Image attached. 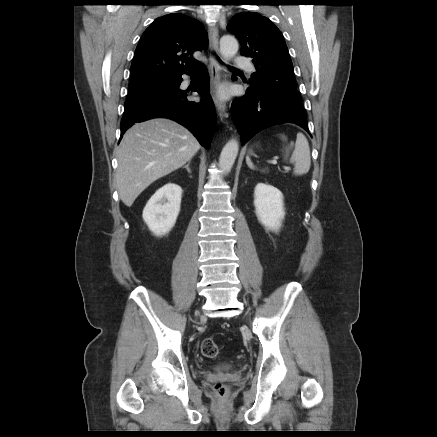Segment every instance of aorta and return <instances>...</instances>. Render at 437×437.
Instances as JSON below:
<instances>
[{"label": "aorta", "mask_w": 437, "mask_h": 437, "mask_svg": "<svg viewBox=\"0 0 437 437\" xmlns=\"http://www.w3.org/2000/svg\"><path fill=\"white\" fill-rule=\"evenodd\" d=\"M238 42L235 37L231 35H224L220 39V54L224 60L227 62L231 60L238 51ZM239 144L236 139L229 140L223 147L219 158V166L224 174H228L235 162L238 155Z\"/></svg>", "instance_id": "aorta-1"}]
</instances>
